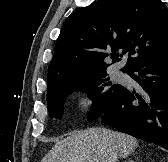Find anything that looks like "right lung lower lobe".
Returning <instances> with one entry per match:
<instances>
[{"mask_svg":"<svg viewBox=\"0 0 168 162\" xmlns=\"http://www.w3.org/2000/svg\"><path fill=\"white\" fill-rule=\"evenodd\" d=\"M128 75L141 89L124 87L101 115L103 122L168 149V53L137 65Z\"/></svg>","mask_w":168,"mask_h":162,"instance_id":"right-lung-lower-lobe-1","label":"right lung lower lobe"}]
</instances>
